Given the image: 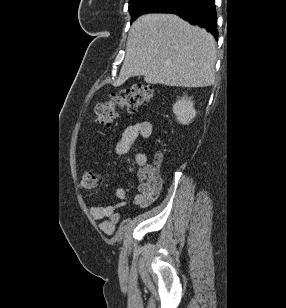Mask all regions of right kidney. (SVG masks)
Instances as JSON below:
<instances>
[{
  "instance_id": "obj_1",
  "label": "right kidney",
  "mask_w": 286,
  "mask_h": 308,
  "mask_svg": "<svg viewBox=\"0 0 286 308\" xmlns=\"http://www.w3.org/2000/svg\"><path fill=\"white\" fill-rule=\"evenodd\" d=\"M173 113L179 123L189 124L196 115L193 101L187 96L182 97L173 105Z\"/></svg>"
}]
</instances>
